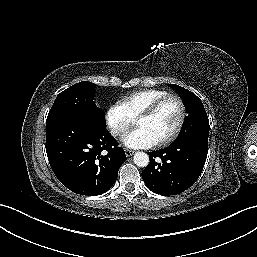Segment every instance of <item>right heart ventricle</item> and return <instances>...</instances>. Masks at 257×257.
<instances>
[{
  "label": "right heart ventricle",
  "instance_id": "1",
  "mask_svg": "<svg viewBox=\"0 0 257 257\" xmlns=\"http://www.w3.org/2000/svg\"><path fill=\"white\" fill-rule=\"evenodd\" d=\"M170 94L163 89H143L132 92L122 99V103L133 118H137L144 110L158 99Z\"/></svg>",
  "mask_w": 257,
  "mask_h": 257
}]
</instances>
